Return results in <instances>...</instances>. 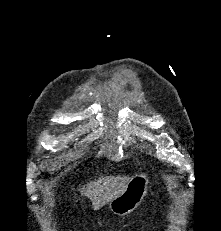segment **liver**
<instances>
[{
    "mask_svg": "<svg viewBox=\"0 0 221 231\" xmlns=\"http://www.w3.org/2000/svg\"><path fill=\"white\" fill-rule=\"evenodd\" d=\"M129 176H109L90 182L81 190V195L88 197L94 210H99L105 204L120 196L126 189Z\"/></svg>",
    "mask_w": 221,
    "mask_h": 231,
    "instance_id": "6515ba94",
    "label": "liver"
}]
</instances>
